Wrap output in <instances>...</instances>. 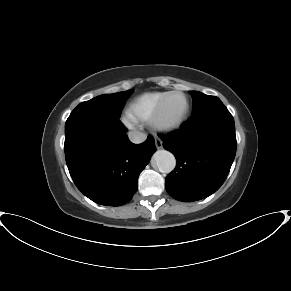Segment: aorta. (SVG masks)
Instances as JSON below:
<instances>
[{
  "label": "aorta",
  "mask_w": 291,
  "mask_h": 291,
  "mask_svg": "<svg viewBox=\"0 0 291 291\" xmlns=\"http://www.w3.org/2000/svg\"><path fill=\"white\" fill-rule=\"evenodd\" d=\"M154 162L161 173H170L176 166L174 155L167 150H158L153 155Z\"/></svg>",
  "instance_id": "762f6f07"
}]
</instances>
